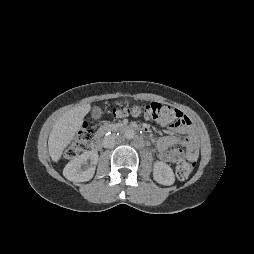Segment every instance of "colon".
<instances>
[{"instance_id":"5ec220e1","label":"colon","mask_w":254,"mask_h":254,"mask_svg":"<svg viewBox=\"0 0 254 254\" xmlns=\"http://www.w3.org/2000/svg\"><path fill=\"white\" fill-rule=\"evenodd\" d=\"M126 113L139 115L143 113L147 118L158 121L162 124L170 126H187L191 120L183 112L175 109L169 105L161 104L159 102H152L147 104L143 109L139 107L132 108H114V116H122ZM91 133L87 127H82L67 148L64 151V157L71 159L76 157L87 148V142L90 139ZM195 161L193 160H180L176 165V175L179 179H186L195 169Z\"/></svg>"}]
</instances>
